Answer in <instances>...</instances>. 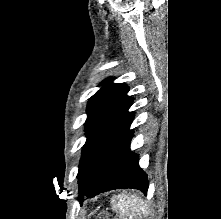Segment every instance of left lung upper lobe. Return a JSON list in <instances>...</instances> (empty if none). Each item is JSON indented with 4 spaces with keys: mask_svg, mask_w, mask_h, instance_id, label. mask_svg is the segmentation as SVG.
Masks as SVG:
<instances>
[{
    "mask_svg": "<svg viewBox=\"0 0 221 219\" xmlns=\"http://www.w3.org/2000/svg\"><path fill=\"white\" fill-rule=\"evenodd\" d=\"M102 84L105 86L88 102V117L85 122L87 141L83 146L78 175L99 142L128 112L132 104V97L127 96V85L112 83V79H107Z\"/></svg>",
    "mask_w": 221,
    "mask_h": 219,
    "instance_id": "5c2ea615",
    "label": "left lung upper lobe"
}]
</instances>
